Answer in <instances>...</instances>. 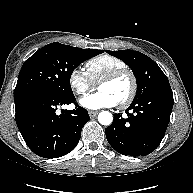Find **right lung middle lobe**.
I'll use <instances>...</instances> for the list:
<instances>
[{
  "instance_id": "dd1d6c3e",
  "label": "right lung middle lobe",
  "mask_w": 193,
  "mask_h": 193,
  "mask_svg": "<svg viewBox=\"0 0 193 193\" xmlns=\"http://www.w3.org/2000/svg\"><path fill=\"white\" fill-rule=\"evenodd\" d=\"M102 52L60 43L44 46L23 64L14 90V101L39 91H48L64 97L73 96L70 86L73 70L85 60Z\"/></svg>"
}]
</instances>
